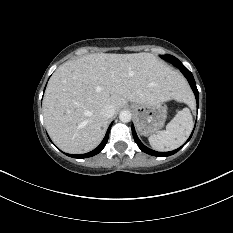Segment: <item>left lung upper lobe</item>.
<instances>
[{
  "mask_svg": "<svg viewBox=\"0 0 233 233\" xmlns=\"http://www.w3.org/2000/svg\"><path fill=\"white\" fill-rule=\"evenodd\" d=\"M162 59L169 61L170 63L174 64L175 62H178L179 60L177 58H175L172 55H164V56H160Z\"/></svg>",
  "mask_w": 233,
  "mask_h": 233,
  "instance_id": "1",
  "label": "left lung upper lobe"
}]
</instances>
